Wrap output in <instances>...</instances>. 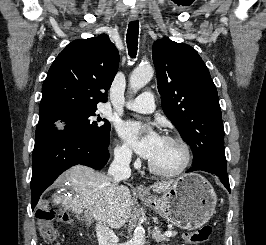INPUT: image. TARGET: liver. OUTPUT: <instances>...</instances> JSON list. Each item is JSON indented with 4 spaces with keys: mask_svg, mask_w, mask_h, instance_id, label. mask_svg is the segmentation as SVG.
Here are the masks:
<instances>
[{
    "mask_svg": "<svg viewBox=\"0 0 266 245\" xmlns=\"http://www.w3.org/2000/svg\"><path fill=\"white\" fill-rule=\"evenodd\" d=\"M61 179H66L73 197H58L54 195L53 203L73 213H83L88 209L98 223H105L111 229H121L131 217L133 199L128 187H113L111 177L98 173L90 167L76 165L63 173ZM174 181L155 183L150 189L154 193H165ZM103 189H108L107 193Z\"/></svg>",
    "mask_w": 266,
    "mask_h": 245,
    "instance_id": "1",
    "label": "liver"
}]
</instances>
